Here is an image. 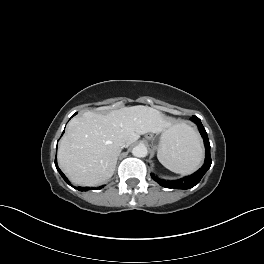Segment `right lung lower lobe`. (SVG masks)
Wrapping results in <instances>:
<instances>
[{
  "instance_id": "obj_1",
  "label": "right lung lower lobe",
  "mask_w": 264,
  "mask_h": 264,
  "mask_svg": "<svg viewBox=\"0 0 264 264\" xmlns=\"http://www.w3.org/2000/svg\"><path fill=\"white\" fill-rule=\"evenodd\" d=\"M55 165H56L57 170L59 171V173H60L61 176L63 177V179H64L69 185H71L70 182L68 181V179L65 177V175H64V174L61 172V170L59 169V167H58V165H57V160H56V159H55ZM103 187H104V185H103V186H100L99 189H101V188H103ZM76 189L79 190V191H87L89 188H88V187H76Z\"/></svg>"
}]
</instances>
